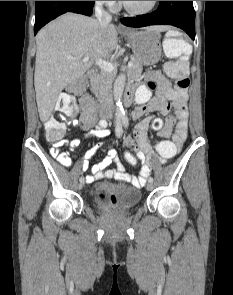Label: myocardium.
Masks as SVG:
<instances>
[{"mask_svg": "<svg viewBox=\"0 0 233 295\" xmlns=\"http://www.w3.org/2000/svg\"><path fill=\"white\" fill-rule=\"evenodd\" d=\"M159 1H152L151 5L144 9V10H134L132 8H130L125 1H121L122 3V7L124 8V10L134 16H143V15H147L149 13H151L158 5Z\"/></svg>", "mask_w": 233, "mask_h": 295, "instance_id": "f54148a6", "label": "myocardium"}]
</instances>
